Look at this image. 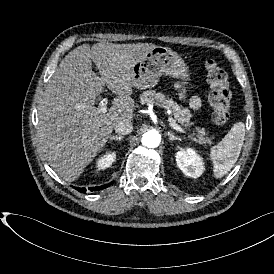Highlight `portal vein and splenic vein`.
I'll return each instance as SVG.
<instances>
[{
	"instance_id": "1",
	"label": "portal vein and splenic vein",
	"mask_w": 274,
	"mask_h": 274,
	"mask_svg": "<svg viewBox=\"0 0 274 274\" xmlns=\"http://www.w3.org/2000/svg\"><path fill=\"white\" fill-rule=\"evenodd\" d=\"M107 104H108V99L107 98H103L100 102H99V106L97 107V112L99 114H104L107 113ZM168 121L170 123V126L175 129L176 131H179L181 133H184V130L180 127V125H178L176 123V121L172 118L169 117Z\"/></svg>"
}]
</instances>
